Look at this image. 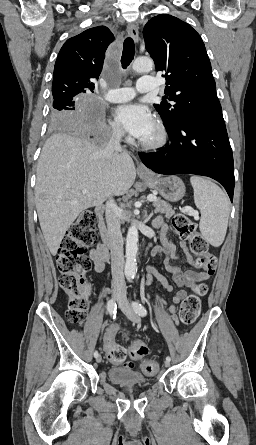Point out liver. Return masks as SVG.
<instances>
[{
	"instance_id": "obj_1",
	"label": "liver",
	"mask_w": 256,
	"mask_h": 445,
	"mask_svg": "<svg viewBox=\"0 0 256 445\" xmlns=\"http://www.w3.org/2000/svg\"><path fill=\"white\" fill-rule=\"evenodd\" d=\"M104 145L64 133L50 136L37 164L36 209L41 230L56 255L69 226L87 208L128 192L136 178L131 157L116 152L111 159ZM88 190L83 194L82 190Z\"/></svg>"
}]
</instances>
